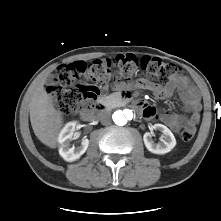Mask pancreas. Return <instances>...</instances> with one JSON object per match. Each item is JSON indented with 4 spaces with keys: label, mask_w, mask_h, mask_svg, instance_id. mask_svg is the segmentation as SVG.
<instances>
[{
    "label": "pancreas",
    "mask_w": 221,
    "mask_h": 221,
    "mask_svg": "<svg viewBox=\"0 0 221 221\" xmlns=\"http://www.w3.org/2000/svg\"><path fill=\"white\" fill-rule=\"evenodd\" d=\"M120 102V99L117 97L116 94H110L108 96L103 97V104L106 106H117Z\"/></svg>",
    "instance_id": "1"
}]
</instances>
